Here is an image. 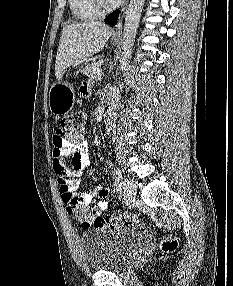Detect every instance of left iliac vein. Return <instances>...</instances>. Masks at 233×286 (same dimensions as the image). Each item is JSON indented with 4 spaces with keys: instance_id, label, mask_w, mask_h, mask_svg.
<instances>
[{
    "instance_id": "obj_1",
    "label": "left iliac vein",
    "mask_w": 233,
    "mask_h": 286,
    "mask_svg": "<svg viewBox=\"0 0 233 286\" xmlns=\"http://www.w3.org/2000/svg\"><path fill=\"white\" fill-rule=\"evenodd\" d=\"M122 191L127 200H134L136 196V185L133 180L124 178L122 181Z\"/></svg>"
}]
</instances>
